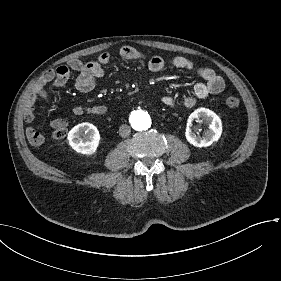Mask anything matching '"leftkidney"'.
Returning a JSON list of instances; mask_svg holds the SVG:
<instances>
[{"instance_id": "1", "label": "left kidney", "mask_w": 281, "mask_h": 281, "mask_svg": "<svg viewBox=\"0 0 281 281\" xmlns=\"http://www.w3.org/2000/svg\"><path fill=\"white\" fill-rule=\"evenodd\" d=\"M195 119H203L209 123V129L205 134L197 136L192 132L191 126ZM222 134V122L219 116L207 108H198L192 112L187 121L185 136L187 141L196 147H207L217 141Z\"/></svg>"}]
</instances>
